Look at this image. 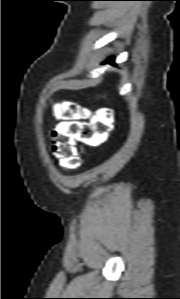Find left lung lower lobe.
I'll return each instance as SVG.
<instances>
[{
  "mask_svg": "<svg viewBox=\"0 0 180 299\" xmlns=\"http://www.w3.org/2000/svg\"><path fill=\"white\" fill-rule=\"evenodd\" d=\"M104 63H110V64H114V59L113 58H109L107 61H105Z\"/></svg>",
  "mask_w": 180,
  "mask_h": 299,
  "instance_id": "1",
  "label": "left lung lower lobe"
}]
</instances>
